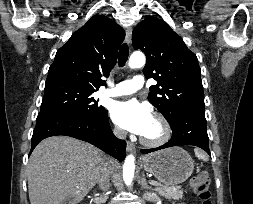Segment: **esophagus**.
I'll list each match as a JSON object with an SVG mask.
<instances>
[{
	"mask_svg": "<svg viewBox=\"0 0 253 204\" xmlns=\"http://www.w3.org/2000/svg\"><path fill=\"white\" fill-rule=\"evenodd\" d=\"M131 37H132V28L128 27L126 30V38H125V40L128 44L131 43ZM127 150L129 152H133L135 150L134 144L131 143L130 141H127Z\"/></svg>",
	"mask_w": 253,
	"mask_h": 204,
	"instance_id": "34e87169",
	"label": "esophagus"
}]
</instances>
